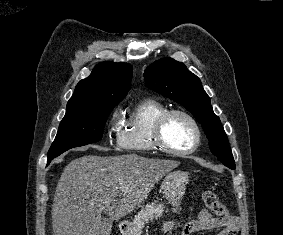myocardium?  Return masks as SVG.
Wrapping results in <instances>:
<instances>
[{
	"instance_id": "myocardium-1",
	"label": "myocardium",
	"mask_w": 283,
	"mask_h": 235,
	"mask_svg": "<svg viewBox=\"0 0 283 235\" xmlns=\"http://www.w3.org/2000/svg\"><path fill=\"white\" fill-rule=\"evenodd\" d=\"M175 115H179L182 117H185L193 126L195 133H196V138H195V142L194 144L186 149V150H175L170 148L165 140H164V136H163V131H164V127L165 124L167 123V121L175 116ZM153 141L154 144L156 145V147L161 150L164 153L170 154V155H175V156H185V155H189L192 154L193 152H195L200 144H201V140H202V132H201V128L199 123L197 122V120L195 119V117L190 114L189 112L182 110V109H170L167 110L166 112H164L155 122L154 128H153Z\"/></svg>"
}]
</instances>
